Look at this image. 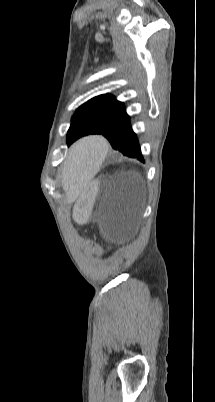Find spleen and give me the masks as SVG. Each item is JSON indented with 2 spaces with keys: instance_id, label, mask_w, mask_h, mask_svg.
Returning a JSON list of instances; mask_svg holds the SVG:
<instances>
[{
  "instance_id": "obj_1",
  "label": "spleen",
  "mask_w": 215,
  "mask_h": 402,
  "mask_svg": "<svg viewBox=\"0 0 215 402\" xmlns=\"http://www.w3.org/2000/svg\"><path fill=\"white\" fill-rule=\"evenodd\" d=\"M106 155L105 138L97 134L93 138L92 133H79L78 143L72 153L74 165L68 169H57L56 177L63 178L60 187L65 193V198H70V193L83 188V182H94L98 168Z\"/></svg>"
}]
</instances>
